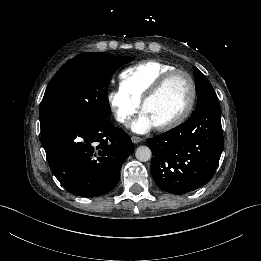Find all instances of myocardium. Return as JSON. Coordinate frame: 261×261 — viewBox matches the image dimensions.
Here are the masks:
<instances>
[{
	"label": "myocardium",
	"mask_w": 261,
	"mask_h": 261,
	"mask_svg": "<svg viewBox=\"0 0 261 261\" xmlns=\"http://www.w3.org/2000/svg\"><path fill=\"white\" fill-rule=\"evenodd\" d=\"M177 74H183L184 76H186V78L189 81L190 84V89H191V95H190V99L186 105V107L184 108V110L181 112V114L179 116H177L176 118L161 124V125H156V129L160 130V131H168L171 130L177 126H179L180 124H182L187 117L190 115L191 111L193 110V107L195 105V101H196V96H197V87H196V83L193 79V77L190 75L189 72L185 71V70H181V69H174L171 70L167 73H165L150 89V91L146 94V96L142 99L141 101V110H144V107L153 99H155L161 92L162 90L166 87V85L169 83V81Z\"/></svg>",
	"instance_id": "myocardium-1"
}]
</instances>
